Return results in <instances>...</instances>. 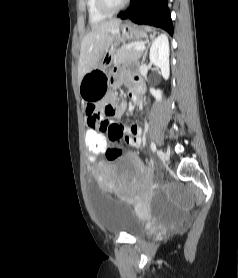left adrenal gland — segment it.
<instances>
[{
	"mask_svg": "<svg viewBox=\"0 0 238 278\" xmlns=\"http://www.w3.org/2000/svg\"><path fill=\"white\" fill-rule=\"evenodd\" d=\"M155 36H156V32H154V33L151 35V37H150L151 41H153V39H154ZM150 44H151V42H149V41L147 40V46H146V48H145V50H144L143 57H142V61H141L142 64L145 62L146 55H147L148 48H149Z\"/></svg>",
	"mask_w": 238,
	"mask_h": 278,
	"instance_id": "a2214340",
	"label": "left adrenal gland"
}]
</instances>
